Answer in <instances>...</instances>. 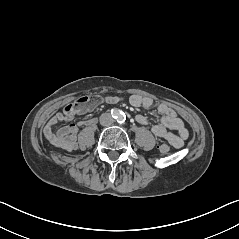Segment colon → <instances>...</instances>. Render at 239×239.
<instances>
[{
  "mask_svg": "<svg viewBox=\"0 0 239 239\" xmlns=\"http://www.w3.org/2000/svg\"><path fill=\"white\" fill-rule=\"evenodd\" d=\"M97 101H98V98H95V97H82L78 101L75 102V107L77 109H82L91 104L96 103ZM159 149L162 153H167V152H169L170 147L168 144L163 143L160 145Z\"/></svg>",
  "mask_w": 239,
  "mask_h": 239,
  "instance_id": "obj_1",
  "label": "colon"
}]
</instances>
